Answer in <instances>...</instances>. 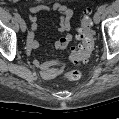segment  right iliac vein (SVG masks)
Listing matches in <instances>:
<instances>
[{"mask_svg": "<svg viewBox=\"0 0 119 119\" xmlns=\"http://www.w3.org/2000/svg\"><path fill=\"white\" fill-rule=\"evenodd\" d=\"M19 24H20V28H21L22 32H25L26 29H27V26H26L25 21H24L23 19H21V20L19 21Z\"/></svg>", "mask_w": 119, "mask_h": 119, "instance_id": "right-iliac-vein-1", "label": "right iliac vein"}]
</instances>
